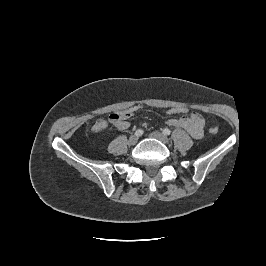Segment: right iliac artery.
Here are the masks:
<instances>
[{
	"label": "right iliac artery",
	"instance_id": "right-iliac-artery-1",
	"mask_svg": "<svg viewBox=\"0 0 266 266\" xmlns=\"http://www.w3.org/2000/svg\"><path fill=\"white\" fill-rule=\"evenodd\" d=\"M143 134V130L142 129H138V130H136V132H135V135L136 136H141Z\"/></svg>",
	"mask_w": 266,
	"mask_h": 266
}]
</instances>
